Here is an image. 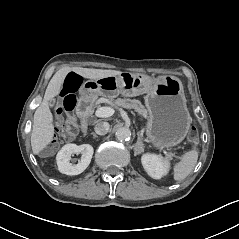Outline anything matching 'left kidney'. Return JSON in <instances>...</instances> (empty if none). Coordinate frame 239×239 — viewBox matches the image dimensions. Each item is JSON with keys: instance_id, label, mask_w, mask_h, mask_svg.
Masks as SVG:
<instances>
[{"instance_id": "left-kidney-1", "label": "left kidney", "mask_w": 239, "mask_h": 239, "mask_svg": "<svg viewBox=\"0 0 239 239\" xmlns=\"http://www.w3.org/2000/svg\"><path fill=\"white\" fill-rule=\"evenodd\" d=\"M142 165L147 170L148 174L155 179L167 173L168 166L158 156L145 154L142 157Z\"/></svg>"}]
</instances>
